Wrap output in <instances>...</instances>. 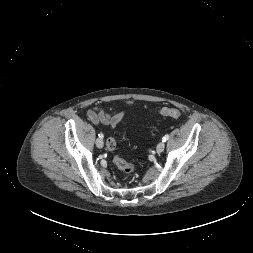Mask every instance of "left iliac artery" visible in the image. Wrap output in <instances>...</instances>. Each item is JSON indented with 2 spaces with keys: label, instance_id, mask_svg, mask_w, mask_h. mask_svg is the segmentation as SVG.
<instances>
[{
  "label": "left iliac artery",
  "instance_id": "obj_1",
  "mask_svg": "<svg viewBox=\"0 0 253 253\" xmlns=\"http://www.w3.org/2000/svg\"><path fill=\"white\" fill-rule=\"evenodd\" d=\"M168 138H169V135H168V134H166V135L162 138V141H163V142H165V141H167V140H168Z\"/></svg>",
  "mask_w": 253,
  "mask_h": 253
}]
</instances>
